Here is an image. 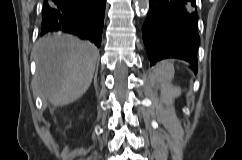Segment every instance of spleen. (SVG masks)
<instances>
[{
  "label": "spleen",
  "instance_id": "obj_1",
  "mask_svg": "<svg viewBox=\"0 0 242 160\" xmlns=\"http://www.w3.org/2000/svg\"><path fill=\"white\" fill-rule=\"evenodd\" d=\"M174 77V66L164 61L154 71L153 80L160 84L164 101H171L177 95V90L171 86Z\"/></svg>",
  "mask_w": 242,
  "mask_h": 160
}]
</instances>
